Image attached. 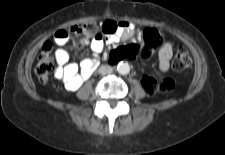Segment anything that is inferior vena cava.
<instances>
[{
  "instance_id": "602c4592",
  "label": "inferior vena cava",
  "mask_w": 225,
  "mask_h": 155,
  "mask_svg": "<svg viewBox=\"0 0 225 155\" xmlns=\"http://www.w3.org/2000/svg\"><path fill=\"white\" fill-rule=\"evenodd\" d=\"M113 71L112 67L109 65H103L98 69L100 74H109Z\"/></svg>"
}]
</instances>
